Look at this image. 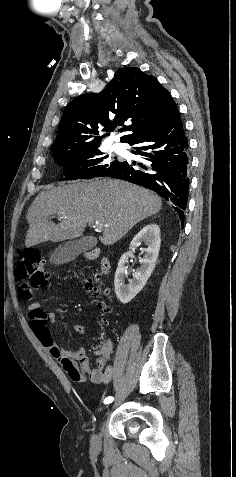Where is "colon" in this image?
Here are the masks:
<instances>
[{
  "label": "colon",
  "instance_id": "5ec220e1",
  "mask_svg": "<svg viewBox=\"0 0 236 477\" xmlns=\"http://www.w3.org/2000/svg\"><path fill=\"white\" fill-rule=\"evenodd\" d=\"M16 274L20 280L19 294L24 301H30L33 291L48 284V274L42 266L41 253L36 249H27L19 255ZM85 289L98 299L97 306L100 310H108V305L100 300L107 294V289L103 287L101 277L98 273L87 277L84 280Z\"/></svg>",
  "mask_w": 236,
  "mask_h": 477
}]
</instances>
